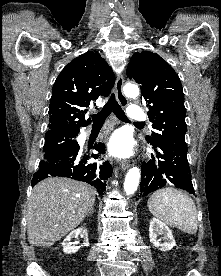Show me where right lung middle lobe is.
Listing matches in <instances>:
<instances>
[{
	"instance_id": "dd1d6c3e",
	"label": "right lung middle lobe",
	"mask_w": 221,
	"mask_h": 276,
	"mask_svg": "<svg viewBox=\"0 0 221 276\" xmlns=\"http://www.w3.org/2000/svg\"><path fill=\"white\" fill-rule=\"evenodd\" d=\"M78 134H51L45 135L43 146L44 158L73 151L78 148L77 141L73 138Z\"/></svg>"
}]
</instances>
